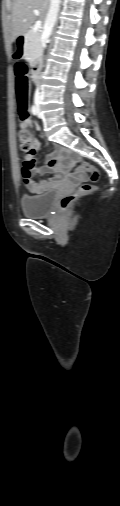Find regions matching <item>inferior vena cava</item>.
I'll use <instances>...</instances> for the list:
<instances>
[{
    "label": "inferior vena cava",
    "instance_id": "inferior-vena-cava-1",
    "mask_svg": "<svg viewBox=\"0 0 120 506\" xmlns=\"http://www.w3.org/2000/svg\"><path fill=\"white\" fill-rule=\"evenodd\" d=\"M60 2L61 0H50V6L49 10L45 19L44 28H43V46L46 47V42L48 38L50 37L53 27L57 21L58 12L60 9ZM35 101L40 100V93L39 88L36 89L35 95H34Z\"/></svg>",
    "mask_w": 120,
    "mask_h": 506
}]
</instances>
